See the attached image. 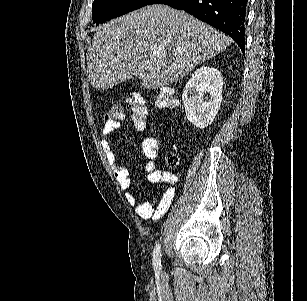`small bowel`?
I'll list each match as a JSON object with an SVG mask.
<instances>
[{
	"mask_svg": "<svg viewBox=\"0 0 307 301\" xmlns=\"http://www.w3.org/2000/svg\"><path fill=\"white\" fill-rule=\"evenodd\" d=\"M119 126L120 123L105 122L101 133L102 147L111 164L114 176L120 188L125 191L126 201L134 206L136 215L141 219L158 220L169 210L173 202L175 184L178 177L173 172L157 169L155 161L159 141L153 137L144 139L142 142V150L148 160L145 166L147 178L152 183H163L166 186L160 197L154 198L152 201L139 202L138 195L131 191L132 181L125 162L117 157L109 145V138Z\"/></svg>",
	"mask_w": 307,
	"mask_h": 301,
	"instance_id": "1",
	"label": "small bowel"
}]
</instances>
